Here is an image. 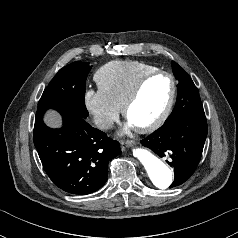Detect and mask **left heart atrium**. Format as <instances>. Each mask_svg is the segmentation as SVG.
<instances>
[{"instance_id":"39dd6f15","label":"left heart atrium","mask_w":238,"mask_h":238,"mask_svg":"<svg viewBox=\"0 0 238 238\" xmlns=\"http://www.w3.org/2000/svg\"><path fill=\"white\" fill-rule=\"evenodd\" d=\"M129 127H133V125L130 122L126 124V128H129Z\"/></svg>"}]
</instances>
